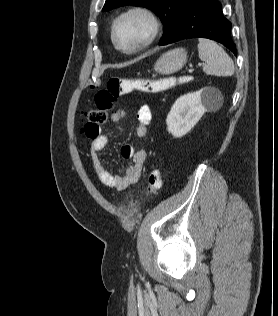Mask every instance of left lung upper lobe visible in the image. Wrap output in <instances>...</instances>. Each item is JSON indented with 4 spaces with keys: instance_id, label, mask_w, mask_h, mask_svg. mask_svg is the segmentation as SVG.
<instances>
[{
    "instance_id": "1",
    "label": "left lung upper lobe",
    "mask_w": 278,
    "mask_h": 316,
    "mask_svg": "<svg viewBox=\"0 0 278 316\" xmlns=\"http://www.w3.org/2000/svg\"><path fill=\"white\" fill-rule=\"evenodd\" d=\"M187 1L188 0H106L102 11H110L113 8L127 4L145 6L153 10L164 24V33L159 43L161 44L173 32Z\"/></svg>"
}]
</instances>
